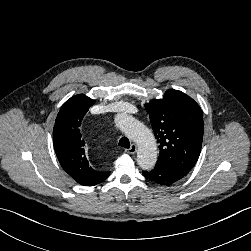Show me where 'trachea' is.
Instances as JSON below:
<instances>
[{
  "label": "trachea",
  "mask_w": 251,
  "mask_h": 251,
  "mask_svg": "<svg viewBox=\"0 0 251 251\" xmlns=\"http://www.w3.org/2000/svg\"><path fill=\"white\" fill-rule=\"evenodd\" d=\"M119 146L124 147V148H129L130 147V141L126 137H122L119 141Z\"/></svg>",
  "instance_id": "obj_1"
}]
</instances>
